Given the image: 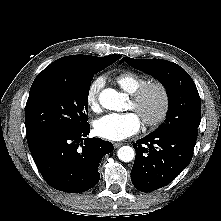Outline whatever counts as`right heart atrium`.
<instances>
[{"mask_svg": "<svg viewBox=\"0 0 221 221\" xmlns=\"http://www.w3.org/2000/svg\"><path fill=\"white\" fill-rule=\"evenodd\" d=\"M104 86V79L98 77L94 79L88 86L86 91V104L92 111L100 109L99 96Z\"/></svg>", "mask_w": 221, "mask_h": 221, "instance_id": "1", "label": "right heart atrium"}]
</instances>
